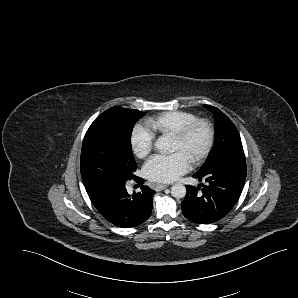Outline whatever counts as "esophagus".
<instances>
[{
    "instance_id": "34e87169",
    "label": "esophagus",
    "mask_w": 298,
    "mask_h": 298,
    "mask_svg": "<svg viewBox=\"0 0 298 298\" xmlns=\"http://www.w3.org/2000/svg\"><path fill=\"white\" fill-rule=\"evenodd\" d=\"M166 187H167L166 184H157V185H155V189H156V190H163V189H165Z\"/></svg>"
}]
</instances>
